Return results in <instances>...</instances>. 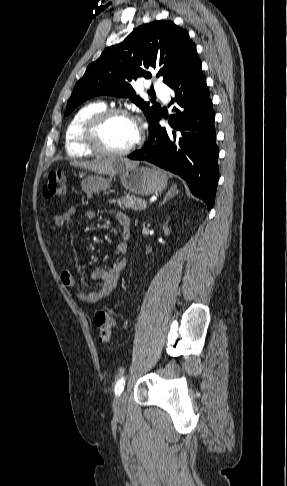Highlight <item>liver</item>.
Listing matches in <instances>:
<instances>
[{
    "label": "liver",
    "mask_w": 287,
    "mask_h": 486,
    "mask_svg": "<svg viewBox=\"0 0 287 486\" xmlns=\"http://www.w3.org/2000/svg\"><path fill=\"white\" fill-rule=\"evenodd\" d=\"M139 162L131 161L127 158H112L103 161H84L72 160L70 165L74 167L83 168L97 174H104L114 176L121 173L124 169L138 166Z\"/></svg>",
    "instance_id": "6515ba94"
}]
</instances>
